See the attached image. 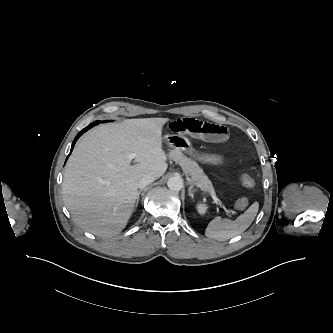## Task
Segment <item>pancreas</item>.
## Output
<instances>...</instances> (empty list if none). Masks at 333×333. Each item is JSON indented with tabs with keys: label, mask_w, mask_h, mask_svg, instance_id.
<instances>
[{
	"label": "pancreas",
	"mask_w": 333,
	"mask_h": 333,
	"mask_svg": "<svg viewBox=\"0 0 333 333\" xmlns=\"http://www.w3.org/2000/svg\"><path fill=\"white\" fill-rule=\"evenodd\" d=\"M170 158L179 163L183 171L191 176V182L201 188L206 193H214V187L209 178L204 174L203 170L198 164L186 157L182 152L178 150H172L170 152Z\"/></svg>",
	"instance_id": "obj_1"
}]
</instances>
